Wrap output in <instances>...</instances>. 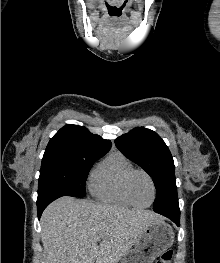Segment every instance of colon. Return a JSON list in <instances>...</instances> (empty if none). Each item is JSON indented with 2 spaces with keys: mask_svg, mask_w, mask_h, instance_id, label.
Instances as JSON below:
<instances>
[{
  "mask_svg": "<svg viewBox=\"0 0 220 263\" xmlns=\"http://www.w3.org/2000/svg\"><path fill=\"white\" fill-rule=\"evenodd\" d=\"M173 259V251L171 249L166 250L160 259L156 263H171Z\"/></svg>",
  "mask_w": 220,
  "mask_h": 263,
  "instance_id": "1",
  "label": "colon"
}]
</instances>
